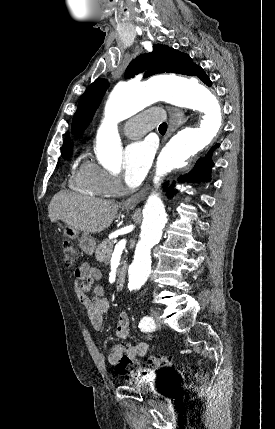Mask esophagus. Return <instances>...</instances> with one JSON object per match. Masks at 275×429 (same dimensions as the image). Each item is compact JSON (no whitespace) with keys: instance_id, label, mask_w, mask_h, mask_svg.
<instances>
[{"instance_id":"34e87169","label":"esophagus","mask_w":275,"mask_h":429,"mask_svg":"<svg viewBox=\"0 0 275 429\" xmlns=\"http://www.w3.org/2000/svg\"><path fill=\"white\" fill-rule=\"evenodd\" d=\"M168 113H169L168 129H167L165 138L163 140V143H165V141L169 137H171V135L176 131V129L180 125V120H181V112L178 109L169 107ZM148 190H149V184H146L139 192L127 198L124 201L123 205L126 207H135L146 196V194L148 193Z\"/></svg>"}]
</instances>
